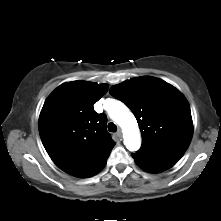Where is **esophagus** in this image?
<instances>
[{"label": "esophagus", "mask_w": 221, "mask_h": 221, "mask_svg": "<svg viewBox=\"0 0 221 221\" xmlns=\"http://www.w3.org/2000/svg\"><path fill=\"white\" fill-rule=\"evenodd\" d=\"M116 136H117L119 139L122 138V131H121V129H119V130L117 131Z\"/></svg>", "instance_id": "34e87169"}]
</instances>
